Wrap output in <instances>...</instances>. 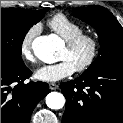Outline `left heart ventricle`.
I'll list each match as a JSON object with an SVG mask.
<instances>
[{
  "label": "left heart ventricle",
  "instance_id": "left-heart-ventricle-1",
  "mask_svg": "<svg viewBox=\"0 0 123 123\" xmlns=\"http://www.w3.org/2000/svg\"><path fill=\"white\" fill-rule=\"evenodd\" d=\"M89 53L90 45L87 42H83L73 50H69L64 46L60 52L59 59L69 60L76 68L88 58Z\"/></svg>",
  "mask_w": 123,
  "mask_h": 123
}]
</instances>
